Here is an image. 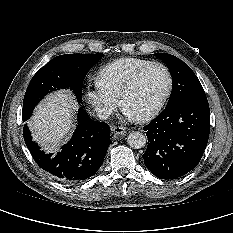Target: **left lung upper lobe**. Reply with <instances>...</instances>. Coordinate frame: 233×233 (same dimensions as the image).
<instances>
[{
    "mask_svg": "<svg viewBox=\"0 0 233 233\" xmlns=\"http://www.w3.org/2000/svg\"><path fill=\"white\" fill-rule=\"evenodd\" d=\"M154 55L167 65L172 76V92L167 106L186 99H207L197 76L185 62L167 53Z\"/></svg>",
    "mask_w": 233,
    "mask_h": 233,
    "instance_id": "5c2ea615",
    "label": "left lung upper lobe"
}]
</instances>
